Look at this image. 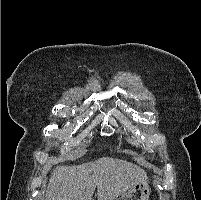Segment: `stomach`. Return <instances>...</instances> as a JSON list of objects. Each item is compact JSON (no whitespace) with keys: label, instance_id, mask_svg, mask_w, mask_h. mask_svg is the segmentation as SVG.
Segmentation results:
<instances>
[{"label":"stomach","instance_id":"0dacf381","mask_svg":"<svg viewBox=\"0 0 201 200\" xmlns=\"http://www.w3.org/2000/svg\"><path fill=\"white\" fill-rule=\"evenodd\" d=\"M150 187L148 182H139L126 192L114 197L112 200H149Z\"/></svg>","mask_w":201,"mask_h":200}]
</instances>
